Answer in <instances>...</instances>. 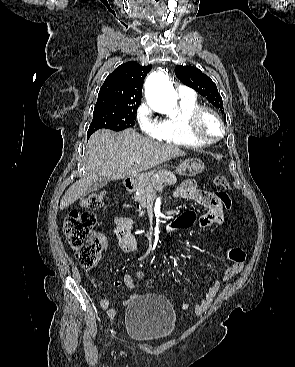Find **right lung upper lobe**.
I'll return each mask as SVG.
<instances>
[{"label":"right lung upper lobe","mask_w":295,"mask_h":367,"mask_svg":"<svg viewBox=\"0 0 295 367\" xmlns=\"http://www.w3.org/2000/svg\"><path fill=\"white\" fill-rule=\"evenodd\" d=\"M151 68L134 61L118 66L106 78L98 98L141 101L143 80Z\"/></svg>","instance_id":"1"}]
</instances>
